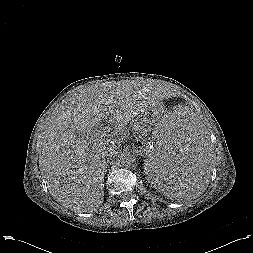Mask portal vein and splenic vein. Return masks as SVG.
I'll return each mask as SVG.
<instances>
[{
  "label": "portal vein and splenic vein",
  "mask_w": 253,
  "mask_h": 253,
  "mask_svg": "<svg viewBox=\"0 0 253 253\" xmlns=\"http://www.w3.org/2000/svg\"><path fill=\"white\" fill-rule=\"evenodd\" d=\"M107 136H108V133L106 131H102V129H100L99 131H97L95 134L92 135L91 140L97 141L98 139L106 138Z\"/></svg>",
  "instance_id": "obj_1"
}]
</instances>
